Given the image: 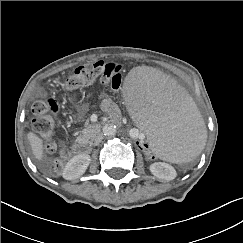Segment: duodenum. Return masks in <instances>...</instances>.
I'll return each instance as SVG.
<instances>
[{
    "instance_id": "obj_1",
    "label": "duodenum",
    "mask_w": 243,
    "mask_h": 243,
    "mask_svg": "<svg viewBox=\"0 0 243 243\" xmlns=\"http://www.w3.org/2000/svg\"><path fill=\"white\" fill-rule=\"evenodd\" d=\"M73 151L76 154H85L89 152V146L87 143L83 142V141H77L74 145H73Z\"/></svg>"
}]
</instances>
